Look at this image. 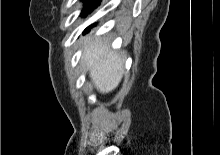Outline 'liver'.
Returning <instances> with one entry per match:
<instances>
[{"label":"liver","instance_id":"6515ba94","mask_svg":"<svg viewBox=\"0 0 220 155\" xmlns=\"http://www.w3.org/2000/svg\"><path fill=\"white\" fill-rule=\"evenodd\" d=\"M82 62L100 93H109L119 85L124 73V59L120 53L110 52L106 41L99 39L90 43L82 56Z\"/></svg>","mask_w":220,"mask_h":155}]
</instances>
